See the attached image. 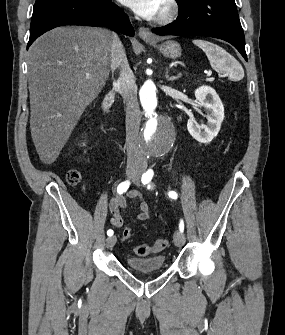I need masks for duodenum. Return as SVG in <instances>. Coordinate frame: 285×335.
<instances>
[{
	"instance_id": "410a0bca",
	"label": "duodenum",
	"mask_w": 285,
	"mask_h": 335,
	"mask_svg": "<svg viewBox=\"0 0 285 335\" xmlns=\"http://www.w3.org/2000/svg\"><path fill=\"white\" fill-rule=\"evenodd\" d=\"M112 101H113V92H110L106 95L101 105V109L104 115L108 114Z\"/></svg>"
}]
</instances>
